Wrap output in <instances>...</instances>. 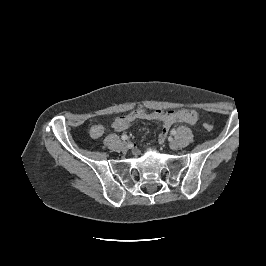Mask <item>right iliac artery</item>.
I'll list each match as a JSON object with an SVG mask.
<instances>
[{
	"label": "right iliac artery",
	"mask_w": 266,
	"mask_h": 266,
	"mask_svg": "<svg viewBox=\"0 0 266 266\" xmlns=\"http://www.w3.org/2000/svg\"><path fill=\"white\" fill-rule=\"evenodd\" d=\"M121 139L125 141V140L128 139V136L124 134V135L121 136Z\"/></svg>",
	"instance_id": "right-iliac-artery-1"
}]
</instances>
